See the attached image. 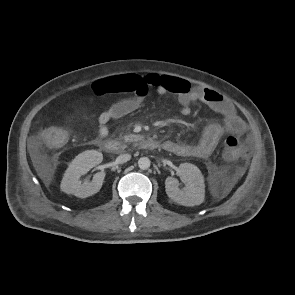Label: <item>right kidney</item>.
I'll list each match as a JSON object with an SVG mask.
<instances>
[{
    "label": "right kidney",
    "mask_w": 295,
    "mask_h": 295,
    "mask_svg": "<svg viewBox=\"0 0 295 295\" xmlns=\"http://www.w3.org/2000/svg\"><path fill=\"white\" fill-rule=\"evenodd\" d=\"M102 160V153L96 150H87L76 156L63 176L61 190L79 198H86L97 193L102 187L105 172L96 173L91 182H82L80 177L100 164Z\"/></svg>",
    "instance_id": "1"
}]
</instances>
